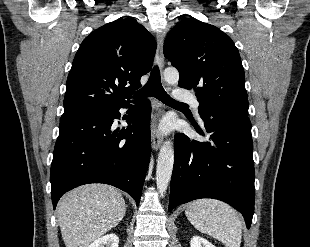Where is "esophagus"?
I'll return each mask as SVG.
<instances>
[{
    "mask_svg": "<svg viewBox=\"0 0 310 247\" xmlns=\"http://www.w3.org/2000/svg\"><path fill=\"white\" fill-rule=\"evenodd\" d=\"M163 44L164 37L161 33L157 34V61L160 69L164 67V56H163ZM152 146L154 150H158L163 142V137L159 133L157 124L155 123L151 130Z\"/></svg>",
    "mask_w": 310,
    "mask_h": 247,
    "instance_id": "obj_1",
    "label": "esophagus"
}]
</instances>
